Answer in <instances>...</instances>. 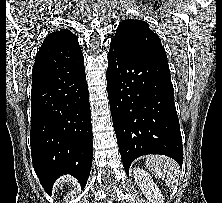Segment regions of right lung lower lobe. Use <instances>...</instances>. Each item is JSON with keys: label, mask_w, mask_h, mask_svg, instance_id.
<instances>
[{"label": "right lung lower lobe", "mask_w": 222, "mask_h": 203, "mask_svg": "<svg viewBox=\"0 0 222 203\" xmlns=\"http://www.w3.org/2000/svg\"><path fill=\"white\" fill-rule=\"evenodd\" d=\"M30 145L47 193L64 174L84 187L92 156V126L84 61L32 71Z\"/></svg>", "instance_id": "right-lung-lower-lobe-1"}]
</instances>
